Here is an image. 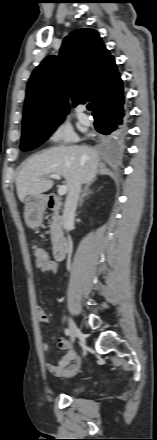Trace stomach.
<instances>
[{"mask_svg": "<svg viewBox=\"0 0 157 440\" xmlns=\"http://www.w3.org/2000/svg\"><path fill=\"white\" fill-rule=\"evenodd\" d=\"M45 206L46 198L44 196H28L25 199L24 219L29 228L35 229L42 224Z\"/></svg>", "mask_w": 157, "mask_h": 440, "instance_id": "obj_1", "label": "stomach"}]
</instances>
